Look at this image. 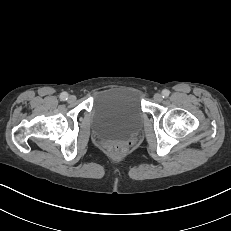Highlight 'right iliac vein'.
<instances>
[{"instance_id":"right-iliac-vein-1","label":"right iliac vein","mask_w":231,"mask_h":231,"mask_svg":"<svg viewBox=\"0 0 231 231\" xmlns=\"http://www.w3.org/2000/svg\"><path fill=\"white\" fill-rule=\"evenodd\" d=\"M68 101H69L70 103H74V102L76 101V97H75L74 95H70V96L68 97Z\"/></svg>"}]
</instances>
